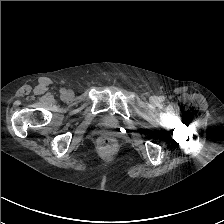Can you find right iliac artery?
Wrapping results in <instances>:
<instances>
[{
  "instance_id": "right-iliac-artery-1",
  "label": "right iliac artery",
  "mask_w": 224,
  "mask_h": 224,
  "mask_svg": "<svg viewBox=\"0 0 224 224\" xmlns=\"http://www.w3.org/2000/svg\"><path fill=\"white\" fill-rule=\"evenodd\" d=\"M60 93H61L62 95H64V94L66 93V90H65L64 88H62V89L60 90Z\"/></svg>"
}]
</instances>
